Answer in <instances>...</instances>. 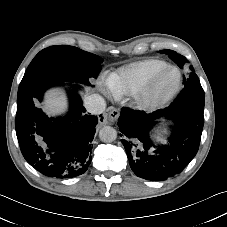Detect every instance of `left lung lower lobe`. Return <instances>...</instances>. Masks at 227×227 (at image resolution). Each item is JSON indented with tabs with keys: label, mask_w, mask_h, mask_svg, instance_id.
<instances>
[{
	"label": "left lung lower lobe",
	"mask_w": 227,
	"mask_h": 227,
	"mask_svg": "<svg viewBox=\"0 0 227 227\" xmlns=\"http://www.w3.org/2000/svg\"><path fill=\"white\" fill-rule=\"evenodd\" d=\"M204 100L178 99L167 108L146 114L123 107L118 126L132 171L141 178L161 181L180 173L196 155L204 125ZM174 123L168 145L155 146L150 130L160 117Z\"/></svg>",
	"instance_id": "0a47b994"
}]
</instances>
